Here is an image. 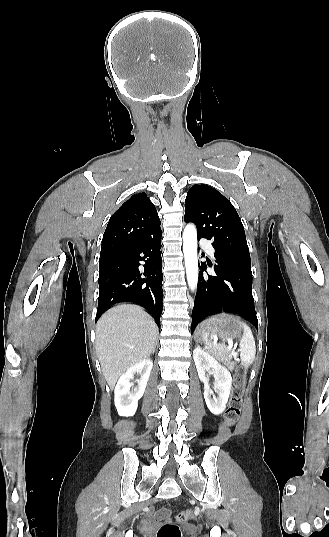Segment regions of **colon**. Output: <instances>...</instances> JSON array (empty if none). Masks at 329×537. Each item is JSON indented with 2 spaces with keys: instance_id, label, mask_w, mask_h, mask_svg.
Masks as SVG:
<instances>
[{
  "instance_id": "1",
  "label": "colon",
  "mask_w": 329,
  "mask_h": 537,
  "mask_svg": "<svg viewBox=\"0 0 329 537\" xmlns=\"http://www.w3.org/2000/svg\"><path fill=\"white\" fill-rule=\"evenodd\" d=\"M245 386V370L239 367L234 375V385L231 392L229 406L225 412V424L226 426H233L239 418L242 396ZM193 518V512L191 510H184L177 514L176 519L179 523H185ZM182 531L180 527L173 523L162 524L157 532L156 537H182Z\"/></svg>"
}]
</instances>
